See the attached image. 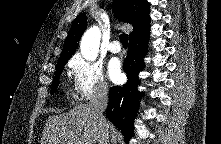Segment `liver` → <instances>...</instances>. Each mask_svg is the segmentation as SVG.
<instances>
[{
	"mask_svg": "<svg viewBox=\"0 0 221 144\" xmlns=\"http://www.w3.org/2000/svg\"><path fill=\"white\" fill-rule=\"evenodd\" d=\"M99 131L89 105L79 104L68 113L48 118L41 144H96Z\"/></svg>",
	"mask_w": 221,
	"mask_h": 144,
	"instance_id": "1",
	"label": "liver"
}]
</instances>
